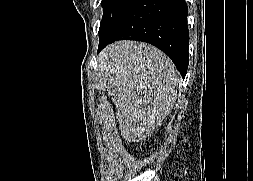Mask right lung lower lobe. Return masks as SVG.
<instances>
[{
	"instance_id": "1",
	"label": "right lung lower lobe",
	"mask_w": 253,
	"mask_h": 181,
	"mask_svg": "<svg viewBox=\"0 0 253 181\" xmlns=\"http://www.w3.org/2000/svg\"><path fill=\"white\" fill-rule=\"evenodd\" d=\"M187 15L185 0H133L99 35L97 52L118 40L147 42L165 52L184 78L189 62Z\"/></svg>"
}]
</instances>
